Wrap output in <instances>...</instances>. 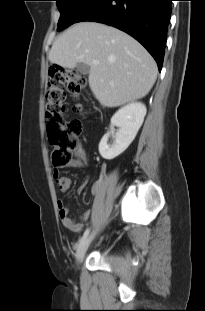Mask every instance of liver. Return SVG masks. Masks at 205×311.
Here are the masks:
<instances>
[{"mask_svg": "<svg viewBox=\"0 0 205 311\" xmlns=\"http://www.w3.org/2000/svg\"><path fill=\"white\" fill-rule=\"evenodd\" d=\"M98 60L99 64H93ZM53 64L90 66L89 86L99 102L117 107L145 97L157 78V65L133 37L97 22H80L63 32L49 52Z\"/></svg>", "mask_w": 205, "mask_h": 311, "instance_id": "1", "label": "liver"}]
</instances>
